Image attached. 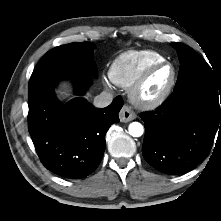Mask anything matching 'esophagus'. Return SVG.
I'll return each instance as SVG.
<instances>
[{
  "label": "esophagus",
  "mask_w": 221,
  "mask_h": 221,
  "mask_svg": "<svg viewBox=\"0 0 221 221\" xmlns=\"http://www.w3.org/2000/svg\"><path fill=\"white\" fill-rule=\"evenodd\" d=\"M119 118L121 122H129L136 118V114L130 107L125 105L119 113Z\"/></svg>",
  "instance_id": "esophagus-1"
}]
</instances>
